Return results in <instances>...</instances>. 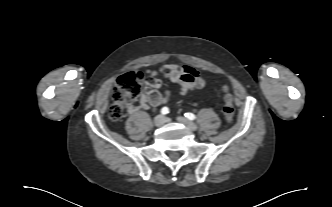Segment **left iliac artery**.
<instances>
[{"label":"left iliac artery","instance_id":"obj_1","mask_svg":"<svg viewBox=\"0 0 332 207\" xmlns=\"http://www.w3.org/2000/svg\"><path fill=\"white\" fill-rule=\"evenodd\" d=\"M185 116L189 120H195L196 119V116L193 113H186Z\"/></svg>","mask_w":332,"mask_h":207}]
</instances>
